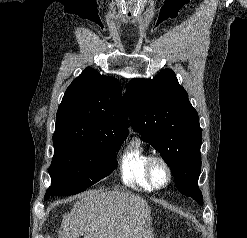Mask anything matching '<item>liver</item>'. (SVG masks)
I'll list each match as a JSON object with an SVG mask.
<instances>
[{
	"label": "liver",
	"instance_id": "1",
	"mask_svg": "<svg viewBox=\"0 0 247 238\" xmlns=\"http://www.w3.org/2000/svg\"><path fill=\"white\" fill-rule=\"evenodd\" d=\"M150 213L138 195L90 190L63 216L58 238H154Z\"/></svg>",
	"mask_w": 247,
	"mask_h": 238
}]
</instances>
